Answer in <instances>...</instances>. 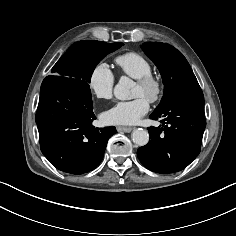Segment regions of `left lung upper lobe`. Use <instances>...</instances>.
I'll return each mask as SVG.
<instances>
[{
    "label": "left lung upper lobe",
    "mask_w": 236,
    "mask_h": 236,
    "mask_svg": "<svg viewBox=\"0 0 236 236\" xmlns=\"http://www.w3.org/2000/svg\"><path fill=\"white\" fill-rule=\"evenodd\" d=\"M142 49L158 67L164 84V95L155 110H161L175 95L184 90L200 88L186 58L173 46L145 42Z\"/></svg>",
    "instance_id": "5c2ea615"
}]
</instances>
